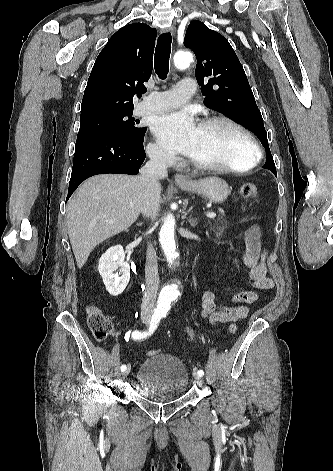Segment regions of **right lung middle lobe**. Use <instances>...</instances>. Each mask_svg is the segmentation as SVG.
Wrapping results in <instances>:
<instances>
[{
	"mask_svg": "<svg viewBox=\"0 0 333 471\" xmlns=\"http://www.w3.org/2000/svg\"><path fill=\"white\" fill-rule=\"evenodd\" d=\"M133 110L104 113L80 119L78 134L90 132H112L132 140H142L146 127H139V123L132 117Z\"/></svg>",
	"mask_w": 333,
	"mask_h": 471,
	"instance_id": "dd1d6c3e",
	"label": "right lung middle lobe"
}]
</instances>
